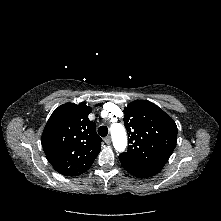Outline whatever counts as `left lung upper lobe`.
<instances>
[{"label": "left lung upper lobe", "instance_id": "left-lung-upper-lobe-1", "mask_svg": "<svg viewBox=\"0 0 221 221\" xmlns=\"http://www.w3.org/2000/svg\"><path fill=\"white\" fill-rule=\"evenodd\" d=\"M129 148L119 156L121 164L138 168L164 167L177 141V126L157 105L136 100L124 109Z\"/></svg>", "mask_w": 221, "mask_h": 221}]
</instances>
